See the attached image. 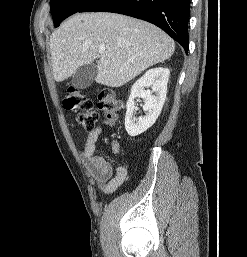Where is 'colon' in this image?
Instances as JSON below:
<instances>
[{
  "instance_id": "colon-1",
  "label": "colon",
  "mask_w": 247,
  "mask_h": 257,
  "mask_svg": "<svg viewBox=\"0 0 247 257\" xmlns=\"http://www.w3.org/2000/svg\"><path fill=\"white\" fill-rule=\"evenodd\" d=\"M98 110L107 120L117 118L121 110V103L115 92L108 88H102L97 93ZM66 109L76 114L77 123L86 131L92 130L98 120L99 112L94 108L91 99L79 89L69 87L63 100Z\"/></svg>"
}]
</instances>
